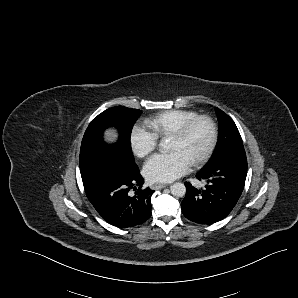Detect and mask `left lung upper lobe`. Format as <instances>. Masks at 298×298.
Segmentation results:
<instances>
[{
    "label": "left lung upper lobe",
    "mask_w": 298,
    "mask_h": 298,
    "mask_svg": "<svg viewBox=\"0 0 298 298\" xmlns=\"http://www.w3.org/2000/svg\"><path fill=\"white\" fill-rule=\"evenodd\" d=\"M215 110L219 121L220 137L213 158L208 165L232 153L245 151L240 133L233 120L219 108Z\"/></svg>",
    "instance_id": "left-lung-upper-lobe-1"
}]
</instances>
